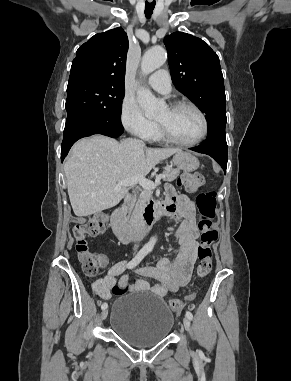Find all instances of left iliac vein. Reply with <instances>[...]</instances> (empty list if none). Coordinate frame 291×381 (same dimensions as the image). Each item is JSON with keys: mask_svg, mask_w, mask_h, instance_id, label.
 I'll return each instance as SVG.
<instances>
[{"mask_svg": "<svg viewBox=\"0 0 291 381\" xmlns=\"http://www.w3.org/2000/svg\"><path fill=\"white\" fill-rule=\"evenodd\" d=\"M183 324H184L185 329L188 332H190L191 331V324H190V319L188 317H184Z\"/></svg>", "mask_w": 291, "mask_h": 381, "instance_id": "left-iliac-vein-1", "label": "left iliac vein"}]
</instances>
